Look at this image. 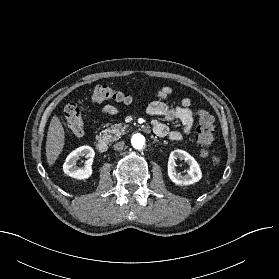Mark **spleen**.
<instances>
[{
  "label": "spleen",
  "instance_id": "spleen-1",
  "mask_svg": "<svg viewBox=\"0 0 279 279\" xmlns=\"http://www.w3.org/2000/svg\"><path fill=\"white\" fill-rule=\"evenodd\" d=\"M216 162H219V160H218V159H216Z\"/></svg>",
  "mask_w": 279,
  "mask_h": 279
}]
</instances>
